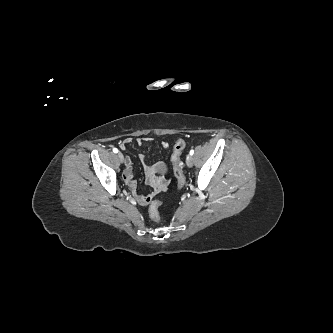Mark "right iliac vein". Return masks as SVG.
<instances>
[{
  "instance_id": "1",
  "label": "right iliac vein",
  "mask_w": 333,
  "mask_h": 333,
  "mask_svg": "<svg viewBox=\"0 0 333 333\" xmlns=\"http://www.w3.org/2000/svg\"><path fill=\"white\" fill-rule=\"evenodd\" d=\"M117 157L119 158V160H120L121 162L124 161V156H123V154H122L121 152H119V153L117 154Z\"/></svg>"
}]
</instances>
